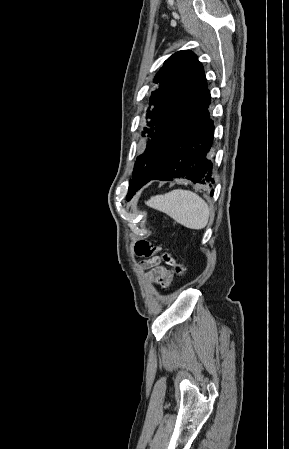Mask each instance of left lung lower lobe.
<instances>
[{
    "label": "left lung lower lobe",
    "mask_w": 289,
    "mask_h": 449,
    "mask_svg": "<svg viewBox=\"0 0 289 449\" xmlns=\"http://www.w3.org/2000/svg\"><path fill=\"white\" fill-rule=\"evenodd\" d=\"M210 97L207 89L188 120L165 139V161L160 173L140 184L135 192L151 180L183 178L203 185L214 183L209 154L214 138V122L208 111Z\"/></svg>",
    "instance_id": "1"
}]
</instances>
